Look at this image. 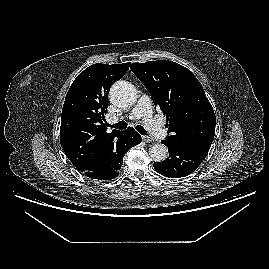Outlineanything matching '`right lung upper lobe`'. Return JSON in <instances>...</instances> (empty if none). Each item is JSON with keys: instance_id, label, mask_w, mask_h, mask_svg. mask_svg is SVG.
Wrapping results in <instances>:
<instances>
[{"instance_id": "right-lung-upper-lobe-1", "label": "right lung upper lobe", "mask_w": 269, "mask_h": 269, "mask_svg": "<svg viewBox=\"0 0 269 269\" xmlns=\"http://www.w3.org/2000/svg\"><path fill=\"white\" fill-rule=\"evenodd\" d=\"M130 63L93 64L81 72L65 97L60 143L81 172L97 171L117 150L121 131L107 133L104 117L111 85L129 69Z\"/></svg>"}]
</instances>
